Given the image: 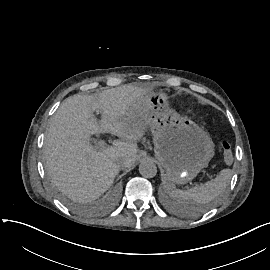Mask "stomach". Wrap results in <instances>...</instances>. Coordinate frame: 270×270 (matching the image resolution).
Returning <instances> with one entry per match:
<instances>
[{
  "label": "stomach",
  "instance_id": "0dacf381",
  "mask_svg": "<svg viewBox=\"0 0 270 270\" xmlns=\"http://www.w3.org/2000/svg\"><path fill=\"white\" fill-rule=\"evenodd\" d=\"M146 96L151 111L146 122L153 135L155 157L170 182L186 184L208 166L214 156V144L193 120L165 109V93L149 92Z\"/></svg>",
  "mask_w": 270,
  "mask_h": 270
}]
</instances>
